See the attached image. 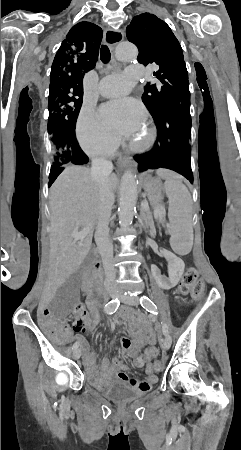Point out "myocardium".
Here are the masks:
<instances>
[{"label":"myocardium","instance_id":"obj_1","mask_svg":"<svg viewBox=\"0 0 241 450\" xmlns=\"http://www.w3.org/2000/svg\"><path fill=\"white\" fill-rule=\"evenodd\" d=\"M154 130H152V129H150V130H146V133H145V136L146 137H143L142 138V141H143V153H148V149H152L153 148V145L152 144H150V142H153L154 141V138L153 137H149V136H152V135H154Z\"/></svg>","mask_w":241,"mask_h":450}]
</instances>
